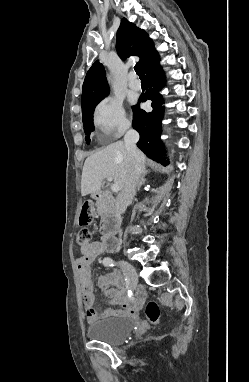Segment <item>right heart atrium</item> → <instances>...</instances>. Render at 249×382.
Segmentation results:
<instances>
[{
    "label": "right heart atrium",
    "mask_w": 249,
    "mask_h": 382,
    "mask_svg": "<svg viewBox=\"0 0 249 382\" xmlns=\"http://www.w3.org/2000/svg\"><path fill=\"white\" fill-rule=\"evenodd\" d=\"M93 122L99 132L106 137H119L129 127L122 102L115 97H106L95 107Z\"/></svg>",
    "instance_id": "right-heart-atrium-1"
}]
</instances>
